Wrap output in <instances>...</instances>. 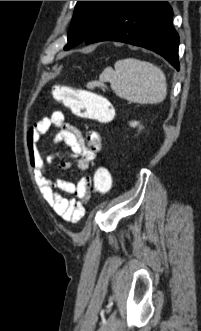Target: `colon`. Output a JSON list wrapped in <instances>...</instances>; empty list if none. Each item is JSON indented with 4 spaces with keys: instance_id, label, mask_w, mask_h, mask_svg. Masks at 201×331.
<instances>
[{
    "instance_id": "1",
    "label": "colon",
    "mask_w": 201,
    "mask_h": 331,
    "mask_svg": "<svg viewBox=\"0 0 201 331\" xmlns=\"http://www.w3.org/2000/svg\"><path fill=\"white\" fill-rule=\"evenodd\" d=\"M53 97L69 108L75 115L98 123H107L114 116L111 103L102 95L86 90L75 89L66 85H56L51 91ZM112 187V176L105 167L95 170L93 184L89 189L95 195H105Z\"/></svg>"
}]
</instances>
